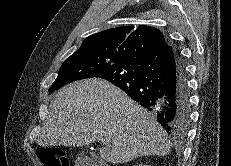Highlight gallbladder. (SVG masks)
Masks as SVG:
<instances>
[{"mask_svg": "<svg viewBox=\"0 0 231 166\" xmlns=\"http://www.w3.org/2000/svg\"><path fill=\"white\" fill-rule=\"evenodd\" d=\"M91 161L88 158H78L76 166H90Z\"/></svg>", "mask_w": 231, "mask_h": 166, "instance_id": "1", "label": "gallbladder"}]
</instances>
